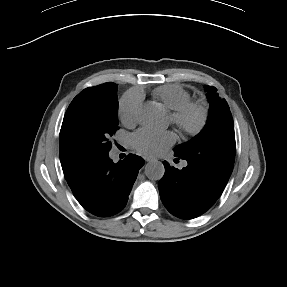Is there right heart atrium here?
<instances>
[{
  "label": "right heart atrium",
  "mask_w": 287,
  "mask_h": 287,
  "mask_svg": "<svg viewBox=\"0 0 287 287\" xmlns=\"http://www.w3.org/2000/svg\"><path fill=\"white\" fill-rule=\"evenodd\" d=\"M118 112L125 125H134L141 115V97L136 93H126L119 101Z\"/></svg>",
  "instance_id": "obj_1"
}]
</instances>
